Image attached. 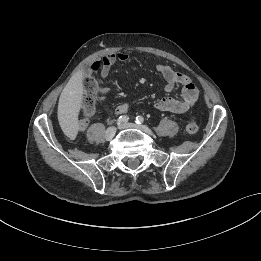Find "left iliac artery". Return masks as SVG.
Instances as JSON below:
<instances>
[{"mask_svg":"<svg viewBox=\"0 0 261 261\" xmlns=\"http://www.w3.org/2000/svg\"><path fill=\"white\" fill-rule=\"evenodd\" d=\"M135 122L137 124H142L144 122V118L142 116H137Z\"/></svg>","mask_w":261,"mask_h":261,"instance_id":"1","label":"left iliac artery"}]
</instances>
